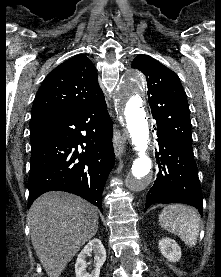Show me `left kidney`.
Segmentation results:
<instances>
[{"mask_svg": "<svg viewBox=\"0 0 221 277\" xmlns=\"http://www.w3.org/2000/svg\"><path fill=\"white\" fill-rule=\"evenodd\" d=\"M161 254L170 262H176L181 258V248L177 242L171 238L165 237L159 241Z\"/></svg>", "mask_w": 221, "mask_h": 277, "instance_id": "obj_1", "label": "left kidney"}]
</instances>
